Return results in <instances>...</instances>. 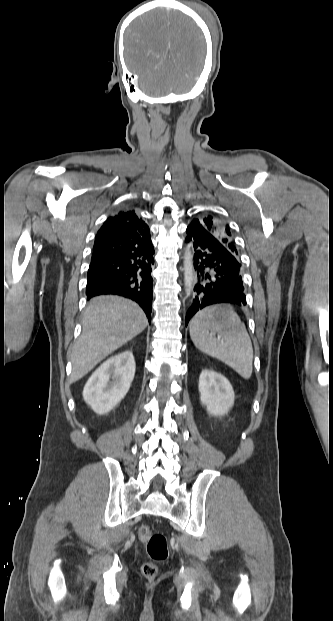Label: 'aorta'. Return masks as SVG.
<instances>
[{
	"label": "aorta",
	"mask_w": 333,
	"mask_h": 621,
	"mask_svg": "<svg viewBox=\"0 0 333 621\" xmlns=\"http://www.w3.org/2000/svg\"><path fill=\"white\" fill-rule=\"evenodd\" d=\"M184 281L186 293L189 296L193 289L194 281V268H193V255L188 247L184 254Z\"/></svg>",
	"instance_id": "obj_1"
}]
</instances>
